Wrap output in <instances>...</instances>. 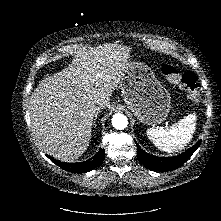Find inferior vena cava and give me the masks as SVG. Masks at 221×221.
<instances>
[{
    "label": "inferior vena cava",
    "mask_w": 221,
    "mask_h": 221,
    "mask_svg": "<svg viewBox=\"0 0 221 221\" xmlns=\"http://www.w3.org/2000/svg\"><path fill=\"white\" fill-rule=\"evenodd\" d=\"M95 103H96V105H98V106L104 108V107H106L107 104H108V98L100 97V98H98V99L96 100Z\"/></svg>",
    "instance_id": "obj_1"
}]
</instances>
